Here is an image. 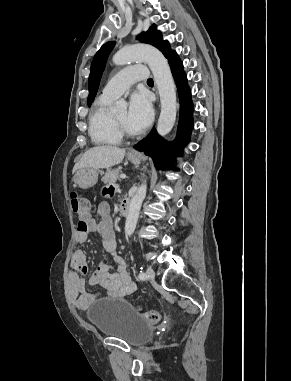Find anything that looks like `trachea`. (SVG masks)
Instances as JSON below:
<instances>
[{
    "label": "trachea",
    "instance_id": "3493384b",
    "mask_svg": "<svg viewBox=\"0 0 291 381\" xmlns=\"http://www.w3.org/2000/svg\"><path fill=\"white\" fill-rule=\"evenodd\" d=\"M147 83H148V84H153L154 82H153V80H152L151 78H149V79L147 80Z\"/></svg>",
    "mask_w": 291,
    "mask_h": 381
}]
</instances>
